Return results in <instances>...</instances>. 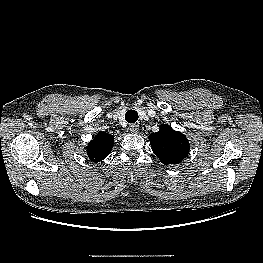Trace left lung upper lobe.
Here are the masks:
<instances>
[{"mask_svg": "<svg viewBox=\"0 0 263 263\" xmlns=\"http://www.w3.org/2000/svg\"><path fill=\"white\" fill-rule=\"evenodd\" d=\"M152 150L165 164H179L189 153V142L180 132L167 124L160 125V130L149 135Z\"/></svg>", "mask_w": 263, "mask_h": 263, "instance_id": "1", "label": "left lung upper lobe"}]
</instances>
